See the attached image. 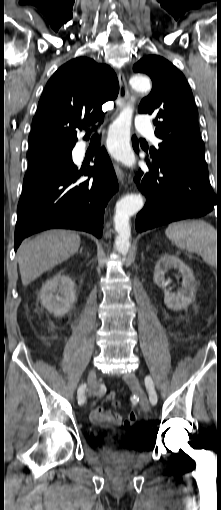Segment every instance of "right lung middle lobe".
Here are the masks:
<instances>
[{
  "instance_id": "dd1d6c3e",
  "label": "right lung middle lobe",
  "mask_w": 221,
  "mask_h": 510,
  "mask_svg": "<svg viewBox=\"0 0 221 510\" xmlns=\"http://www.w3.org/2000/svg\"><path fill=\"white\" fill-rule=\"evenodd\" d=\"M71 151L72 148L46 147L28 152L27 173L49 168H68L72 164Z\"/></svg>"
}]
</instances>
